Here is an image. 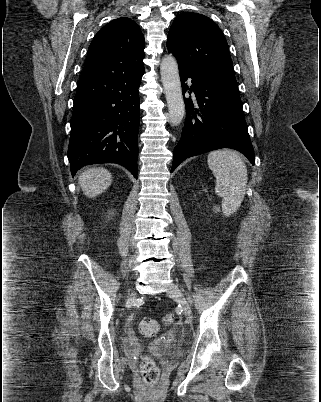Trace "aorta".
<instances>
[{"label":"aorta","mask_w":321,"mask_h":402,"mask_svg":"<svg viewBox=\"0 0 321 402\" xmlns=\"http://www.w3.org/2000/svg\"><path fill=\"white\" fill-rule=\"evenodd\" d=\"M161 80L165 90L169 119L172 125H179L185 114L178 64L172 55L165 56L160 65Z\"/></svg>","instance_id":"1"}]
</instances>
